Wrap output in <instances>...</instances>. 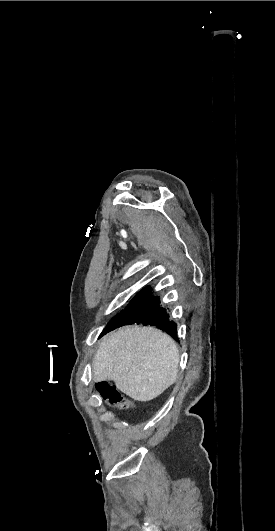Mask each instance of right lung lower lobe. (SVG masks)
Returning a JSON list of instances; mask_svg holds the SVG:
<instances>
[{
  "label": "right lung lower lobe",
  "instance_id": "right-lung-lower-lobe-1",
  "mask_svg": "<svg viewBox=\"0 0 275 531\" xmlns=\"http://www.w3.org/2000/svg\"><path fill=\"white\" fill-rule=\"evenodd\" d=\"M151 287L142 289L129 303L127 308L115 316L103 330L105 334L115 328L130 324L156 325L169 335L177 338V325L169 319L166 309L160 306L159 297H152Z\"/></svg>",
  "mask_w": 275,
  "mask_h": 531
}]
</instances>
